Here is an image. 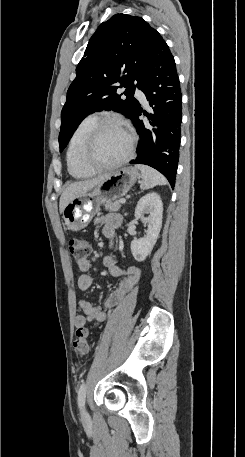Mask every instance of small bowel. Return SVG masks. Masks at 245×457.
<instances>
[{"instance_id":"c3829d8e","label":"small bowel","mask_w":245,"mask_h":457,"mask_svg":"<svg viewBox=\"0 0 245 457\" xmlns=\"http://www.w3.org/2000/svg\"><path fill=\"white\" fill-rule=\"evenodd\" d=\"M96 223L101 226L103 235L112 239L115 231L122 224V217L116 213H108L96 220ZM78 268L81 275L78 277L77 285L82 291H87L92 287L93 279L89 275L91 267L88 259L78 261ZM103 264L108 269L109 273L113 277H122L118 287L109 295L104 304L93 305L88 301H80L79 306L82 310V314H78L75 317L74 324L76 328H86L87 323H92L93 326L101 324L107 317V309H110L119 304L125 295L132 290V288L138 283L141 272L140 269L135 266L128 268H121L117 260L112 255H106L103 258Z\"/></svg>"}]
</instances>
